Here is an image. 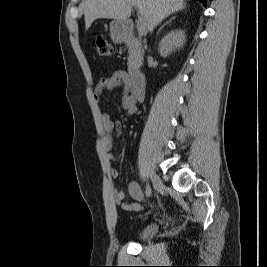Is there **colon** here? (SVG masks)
Wrapping results in <instances>:
<instances>
[{"mask_svg": "<svg viewBox=\"0 0 267 267\" xmlns=\"http://www.w3.org/2000/svg\"><path fill=\"white\" fill-rule=\"evenodd\" d=\"M95 46L99 56L107 57L112 54V45L103 37H98L95 40Z\"/></svg>", "mask_w": 267, "mask_h": 267, "instance_id": "1", "label": "colon"}]
</instances>
